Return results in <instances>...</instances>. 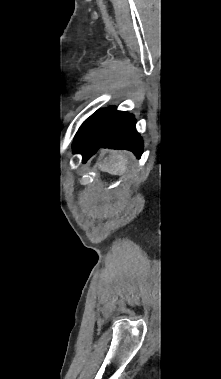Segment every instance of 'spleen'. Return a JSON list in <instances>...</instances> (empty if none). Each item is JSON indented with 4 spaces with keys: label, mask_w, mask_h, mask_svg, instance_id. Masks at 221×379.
Here are the masks:
<instances>
[{
    "label": "spleen",
    "mask_w": 221,
    "mask_h": 379,
    "mask_svg": "<svg viewBox=\"0 0 221 379\" xmlns=\"http://www.w3.org/2000/svg\"><path fill=\"white\" fill-rule=\"evenodd\" d=\"M99 168L112 175H123L128 171V156L125 152H111Z\"/></svg>",
    "instance_id": "3e777b00"
}]
</instances>
